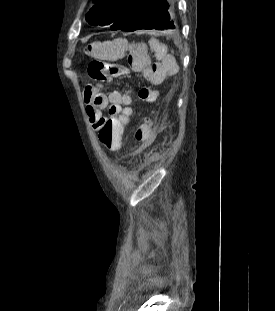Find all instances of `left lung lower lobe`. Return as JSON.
I'll return each instance as SVG.
<instances>
[{
    "label": "left lung lower lobe",
    "mask_w": 275,
    "mask_h": 311,
    "mask_svg": "<svg viewBox=\"0 0 275 311\" xmlns=\"http://www.w3.org/2000/svg\"><path fill=\"white\" fill-rule=\"evenodd\" d=\"M143 29L160 31L176 29L167 0H145L121 31L133 32Z\"/></svg>",
    "instance_id": "1"
}]
</instances>
